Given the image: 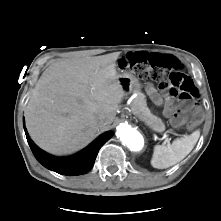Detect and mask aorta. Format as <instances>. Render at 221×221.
<instances>
[{"mask_svg":"<svg viewBox=\"0 0 221 221\" xmlns=\"http://www.w3.org/2000/svg\"><path fill=\"white\" fill-rule=\"evenodd\" d=\"M116 135L132 151H140L144 146L143 136L128 124L119 125Z\"/></svg>","mask_w":221,"mask_h":221,"instance_id":"1","label":"aorta"}]
</instances>
